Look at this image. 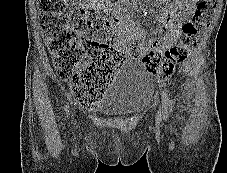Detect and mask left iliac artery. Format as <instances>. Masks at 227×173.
Segmentation results:
<instances>
[{"label": "left iliac artery", "mask_w": 227, "mask_h": 173, "mask_svg": "<svg viewBox=\"0 0 227 173\" xmlns=\"http://www.w3.org/2000/svg\"><path fill=\"white\" fill-rule=\"evenodd\" d=\"M161 95H162L163 112H164L165 116L167 117V115L169 114L168 105H169L170 99L165 91H162Z\"/></svg>", "instance_id": "44dca946"}]
</instances>
